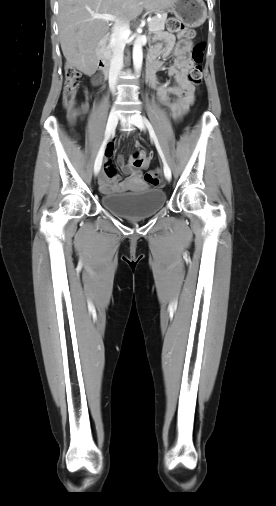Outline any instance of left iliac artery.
<instances>
[{"label": "left iliac artery", "instance_id": "left-iliac-artery-1", "mask_svg": "<svg viewBox=\"0 0 276 506\" xmlns=\"http://www.w3.org/2000/svg\"><path fill=\"white\" fill-rule=\"evenodd\" d=\"M143 120H144V123L146 124V126H147V128H148V130H149V133H150L151 138L154 140V143H155V145H156L157 151H158V153H159V155H160V157H161V159H162V161H163L164 165H167V163H166V159H165V157H164V154H163V152H162V149H161V147H160L159 141H158V139H157V136H156V134H155V132H154V129H153V127H152L151 123L149 122V120H148L146 117H143ZM164 174H165V175H167L165 171H164ZM165 177H166V176H165Z\"/></svg>", "mask_w": 276, "mask_h": 506}]
</instances>
